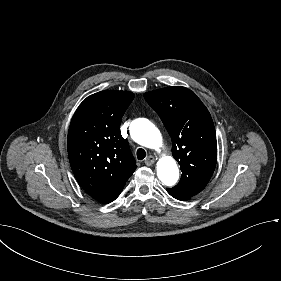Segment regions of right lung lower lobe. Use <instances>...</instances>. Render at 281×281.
<instances>
[{
  "label": "right lung lower lobe",
  "instance_id": "obj_1",
  "mask_svg": "<svg viewBox=\"0 0 281 281\" xmlns=\"http://www.w3.org/2000/svg\"><path fill=\"white\" fill-rule=\"evenodd\" d=\"M123 187L119 190H117L115 193L111 194L110 196H108L104 201H102L101 203H109L112 202L113 200H115L118 195L120 194V192L122 191Z\"/></svg>",
  "mask_w": 281,
  "mask_h": 281
}]
</instances>
